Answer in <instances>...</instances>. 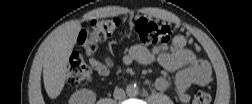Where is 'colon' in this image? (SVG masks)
<instances>
[{
    "mask_svg": "<svg viewBox=\"0 0 252 104\" xmlns=\"http://www.w3.org/2000/svg\"><path fill=\"white\" fill-rule=\"evenodd\" d=\"M119 24L118 19H100L83 26L78 36L80 50L86 56L91 57L96 50L97 42L111 37ZM135 30L139 40L145 45L166 42L177 32V28L173 25L145 17L139 18L135 22ZM103 63L109 68L112 67V61L107 56L104 57ZM66 75L68 83L72 86H78L91 80V70L79 52L76 51L71 55ZM210 100V94L203 90L196 91L193 97L194 104H208Z\"/></svg>",
    "mask_w": 252,
    "mask_h": 104,
    "instance_id": "1",
    "label": "colon"
}]
</instances>
